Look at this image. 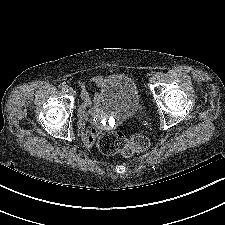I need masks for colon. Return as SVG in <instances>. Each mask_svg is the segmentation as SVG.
I'll return each instance as SVG.
<instances>
[{
    "mask_svg": "<svg viewBox=\"0 0 225 225\" xmlns=\"http://www.w3.org/2000/svg\"><path fill=\"white\" fill-rule=\"evenodd\" d=\"M150 143L143 134H135L131 137L120 132L103 133L97 142L98 150L104 155L122 154L124 157H132L137 153L148 149Z\"/></svg>",
    "mask_w": 225,
    "mask_h": 225,
    "instance_id": "5ec220e1",
    "label": "colon"
}]
</instances>
